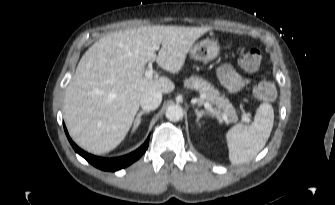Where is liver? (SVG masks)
I'll return each mask as SVG.
<instances>
[{
    "instance_id": "obj_1",
    "label": "liver",
    "mask_w": 335,
    "mask_h": 205,
    "mask_svg": "<svg viewBox=\"0 0 335 205\" xmlns=\"http://www.w3.org/2000/svg\"><path fill=\"white\" fill-rule=\"evenodd\" d=\"M209 30L147 25L95 42L66 88L65 121L74 142L96 155L115 149L132 126L141 95L150 89L166 94L175 88L166 77L147 79L145 65L156 60L167 72L178 73L194 42Z\"/></svg>"
}]
</instances>
